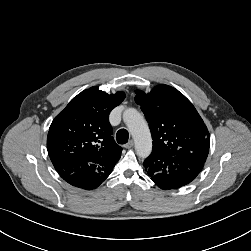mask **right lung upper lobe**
Masks as SVG:
<instances>
[{
	"mask_svg": "<svg viewBox=\"0 0 251 251\" xmlns=\"http://www.w3.org/2000/svg\"><path fill=\"white\" fill-rule=\"evenodd\" d=\"M125 98L124 92L108 95L91 87L74 97L52 121L47 150L50 159L64 155L61 176H75L79 169L96 165L97 173L110 174L122 148L112 137L109 113Z\"/></svg>",
	"mask_w": 251,
	"mask_h": 251,
	"instance_id": "cb5924a9",
	"label": "right lung upper lobe"
}]
</instances>
